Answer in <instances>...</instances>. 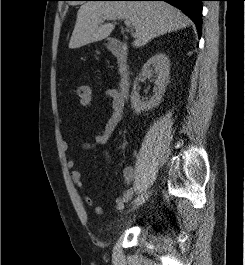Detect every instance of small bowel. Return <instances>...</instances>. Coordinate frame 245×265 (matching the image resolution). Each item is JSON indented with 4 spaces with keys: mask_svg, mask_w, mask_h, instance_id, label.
Returning a JSON list of instances; mask_svg holds the SVG:
<instances>
[{
    "mask_svg": "<svg viewBox=\"0 0 245 265\" xmlns=\"http://www.w3.org/2000/svg\"><path fill=\"white\" fill-rule=\"evenodd\" d=\"M104 96L109 100L111 106V113L110 116L104 125V127L98 132L95 137V143H84L83 148L86 150H90L93 148L95 144H104L106 143L111 135L113 134L114 130L116 129L117 125L120 123L124 116L125 111V98L119 93L117 89L108 88L105 89L103 92ZM92 102L84 107H91ZM62 148L64 151L69 149L68 142L64 141L62 143ZM67 166L71 169V178L78 189L84 188V171L78 168H75V161L73 159H69L67 161ZM123 177L126 184H130L134 178V169L130 166H127L123 170ZM135 194V188L133 186H129L122 194L116 199V203H126L130 201ZM84 202L93 207V211L95 214L100 215L102 214L103 210L101 206L95 205L94 200L88 196L84 195L83 197Z\"/></svg>",
    "mask_w": 245,
    "mask_h": 265,
    "instance_id": "1",
    "label": "small bowel"
}]
</instances>
